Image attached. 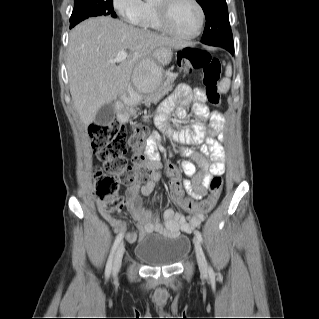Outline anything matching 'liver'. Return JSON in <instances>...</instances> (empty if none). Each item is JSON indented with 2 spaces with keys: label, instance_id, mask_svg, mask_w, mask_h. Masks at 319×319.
I'll list each match as a JSON object with an SVG mask.
<instances>
[{
  "label": "liver",
  "instance_id": "liver-1",
  "mask_svg": "<svg viewBox=\"0 0 319 319\" xmlns=\"http://www.w3.org/2000/svg\"><path fill=\"white\" fill-rule=\"evenodd\" d=\"M162 46L179 49L185 44L111 17L90 18L72 29L66 67L72 101L85 127L103 105L125 93L138 63ZM126 50L125 60L112 62Z\"/></svg>",
  "mask_w": 319,
  "mask_h": 319
}]
</instances>
